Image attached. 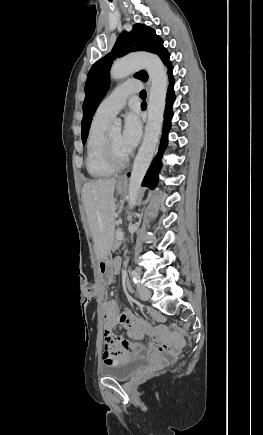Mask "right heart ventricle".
Here are the masks:
<instances>
[{"instance_id": "e07e8e85", "label": "right heart ventricle", "mask_w": 263, "mask_h": 435, "mask_svg": "<svg viewBox=\"0 0 263 435\" xmlns=\"http://www.w3.org/2000/svg\"><path fill=\"white\" fill-rule=\"evenodd\" d=\"M109 121L95 116L89 129L85 165L88 174L96 179L109 177L115 171L106 163L103 154L104 137L107 133Z\"/></svg>"}]
</instances>
